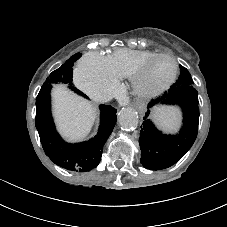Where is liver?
<instances>
[{"mask_svg": "<svg viewBox=\"0 0 227 227\" xmlns=\"http://www.w3.org/2000/svg\"><path fill=\"white\" fill-rule=\"evenodd\" d=\"M52 98L53 113L61 135L70 142L85 138L96 119L95 107L62 85L54 87Z\"/></svg>", "mask_w": 227, "mask_h": 227, "instance_id": "6515ba94", "label": "liver"}]
</instances>
